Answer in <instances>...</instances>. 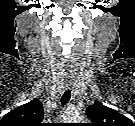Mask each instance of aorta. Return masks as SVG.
<instances>
[{
  "mask_svg": "<svg viewBox=\"0 0 135 126\" xmlns=\"http://www.w3.org/2000/svg\"><path fill=\"white\" fill-rule=\"evenodd\" d=\"M70 120H74V121H80L81 120V116L80 115H75L73 117L69 118Z\"/></svg>",
  "mask_w": 135,
  "mask_h": 126,
  "instance_id": "obj_1",
  "label": "aorta"
}]
</instances>
